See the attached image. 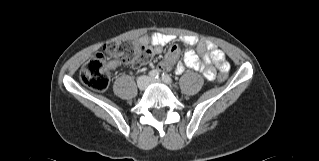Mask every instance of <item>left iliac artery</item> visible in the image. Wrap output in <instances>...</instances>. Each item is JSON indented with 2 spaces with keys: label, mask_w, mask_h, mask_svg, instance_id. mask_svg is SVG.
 I'll list each match as a JSON object with an SVG mask.
<instances>
[{
  "label": "left iliac artery",
  "mask_w": 319,
  "mask_h": 161,
  "mask_svg": "<svg viewBox=\"0 0 319 161\" xmlns=\"http://www.w3.org/2000/svg\"><path fill=\"white\" fill-rule=\"evenodd\" d=\"M162 80L168 84H171L172 83V79L171 77L166 74V73H163L162 76H161Z\"/></svg>",
  "instance_id": "left-iliac-artery-1"
}]
</instances>
